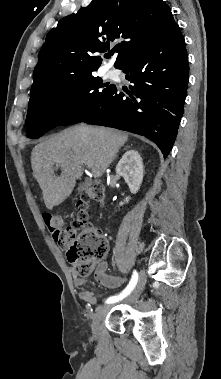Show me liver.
<instances>
[{
  "instance_id": "6515ba94",
  "label": "liver",
  "mask_w": 221,
  "mask_h": 379,
  "mask_svg": "<svg viewBox=\"0 0 221 379\" xmlns=\"http://www.w3.org/2000/svg\"><path fill=\"white\" fill-rule=\"evenodd\" d=\"M127 140L126 133L115 129L76 126L37 144L31 165L46 207L51 210L67 199L87 162L92 163L94 178L101 177ZM55 166L61 169L59 176Z\"/></svg>"
}]
</instances>
